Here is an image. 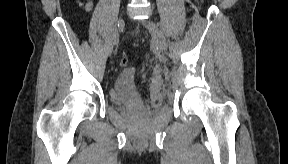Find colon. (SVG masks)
Here are the masks:
<instances>
[{
    "mask_svg": "<svg viewBox=\"0 0 288 164\" xmlns=\"http://www.w3.org/2000/svg\"><path fill=\"white\" fill-rule=\"evenodd\" d=\"M127 63H128V58H127V56L124 54V55L122 56V59H121V64H122V65H127Z\"/></svg>",
    "mask_w": 288,
    "mask_h": 164,
    "instance_id": "5ec220e1",
    "label": "colon"
}]
</instances>
